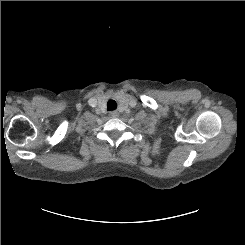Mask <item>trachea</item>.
<instances>
[{"label": "trachea", "mask_w": 245, "mask_h": 245, "mask_svg": "<svg viewBox=\"0 0 245 245\" xmlns=\"http://www.w3.org/2000/svg\"><path fill=\"white\" fill-rule=\"evenodd\" d=\"M108 110H115L117 108V103L115 100H109L107 103Z\"/></svg>", "instance_id": "obj_1"}]
</instances>
